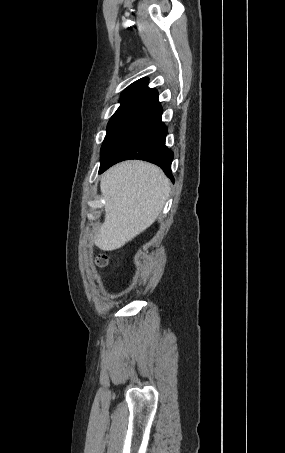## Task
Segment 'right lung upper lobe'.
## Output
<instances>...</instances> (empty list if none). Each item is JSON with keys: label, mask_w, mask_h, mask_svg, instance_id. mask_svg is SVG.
<instances>
[{"label": "right lung upper lobe", "mask_w": 285, "mask_h": 453, "mask_svg": "<svg viewBox=\"0 0 285 453\" xmlns=\"http://www.w3.org/2000/svg\"><path fill=\"white\" fill-rule=\"evenodd\" d=\"M148 78H141L131 85H129L122 93H121V100L125 101L130 98L133 94L139 91L141 88L148 84Z\"/></svg>", "instance_id": "cb5924a9"}]
</instances>
